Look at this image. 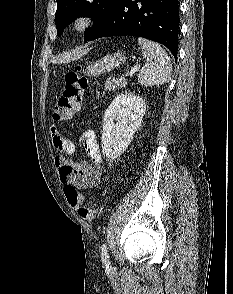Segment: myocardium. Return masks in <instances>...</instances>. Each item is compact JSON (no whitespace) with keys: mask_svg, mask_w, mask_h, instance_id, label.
<instances>
[{"mask_svg":"<svg viewBox=\"0 0 233 294\" xmlns=\"http://www.w3.org/2000/svg\"><path fill=\"white\" fill-rule=\"evenodd\" d=\"M93 22V15L89 12H79L70 21V28L74 32H83Z\"/></svg>","mask_w":233,"mask_h":294,"instance_id":"f54148a6","label":"myocardium"}]
</instances>
